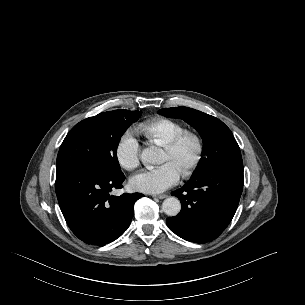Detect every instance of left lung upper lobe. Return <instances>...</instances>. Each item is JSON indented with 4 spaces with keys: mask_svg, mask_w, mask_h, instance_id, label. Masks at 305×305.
<instances>
[{
    "mask_svg": "<svg viewBox=\"0 0 305 305\" xmlns=\"http://www.w3.org/2000/svg\"><path fill=\"white\" fill-rule=\"evenodd\" d=\"M158 113L169 117L182 118L193 126L202 137V158L194 175L226 160L241 157L240 148L232 132L216 117L188 107L161 109Z\"/></svg>",
    "mask_w": 305,
    "mask_h": 305,
    "instance_id": "5c2ea615",
    "label": "left lung upper lobe"
}]
</instances>
